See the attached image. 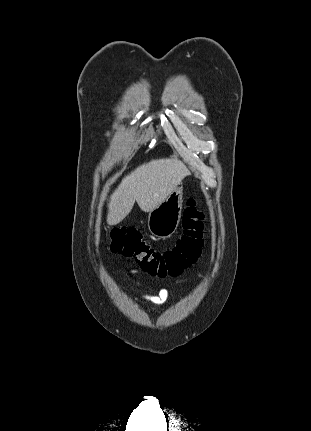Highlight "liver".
<instances>
[{
    "mask_svg": "<svg viewBox=\"0 0 311 431\" xmlns=\"http://www.w3.org/2000/svg\"><path fill=\"white\" fill-rule=\"evenodd\" d=\"M191 172L177 158L151 160L122 178L110 196L108 225H117L130 214L135 202L142 212H152L165 198L180 186Z\"/></svg>",
    "mask_w": 311,
    "mask_h": 431,
    "instance_id": "1",
    "label": "liver"
}]
</instances>
